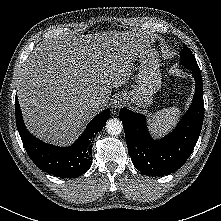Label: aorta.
Here are the masks:
<instances>
[{
  "mask_svg": "<svg viewBox=\"0 0 221 221\" xmlns=\"http://www.w3.org/2000/svg\"><path fill=\"white\" fill-rule=\"evenodd\" d=\"M122 129V122L117 118L109 119L106 123V131L110 135H119Z\"/></svg>",
  "mask_w": 221,
  "mask_h": 221,
  "instance_id": "obj_1",
  "label": "aorta"
}]
</instances>
